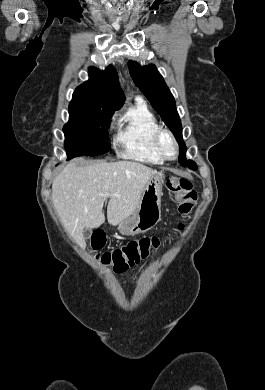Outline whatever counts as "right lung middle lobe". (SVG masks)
Masks as SVG:
<instances>
[{"label":"right lung middle lobe","instance_id":"dd1d6c3e","mask_svg":"<svg viewBox=\"0 0 265 390\" xmlns=\"http://www.w3.org/2000/svg\"><path fill=\"white\" fill-rule=\"evenodd\" d=\"M112 112L81 106H69V122L64 125L68 159L97 156L109 149L108 128Z\"/></svg>","mask_w":265,"mask_h":390}]
</instances>
